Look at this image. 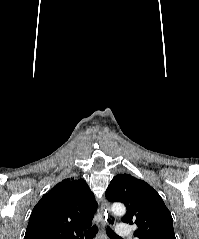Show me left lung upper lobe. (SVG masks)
Segmentation results:
<instances>
[{
  "instance_id": "left-lung-upper-lobe-1",
  "label": "left lung upper lobe",
  "mask_w": 199,
  "mask_h": 239,
  "mask_svg": "<svg viewBox=\"0 0 199 239\" xmlns=\"http://www.w3.org/2000/svg\"><path fill=\"white\" fill-rule=\"evenodd\" d=\"M106 198L126 205L122 221L137 225L134 235L139 239H176L170 211L157 191L143 180L118 174L110 182Z\"/></svg>"
}]
</instances>
